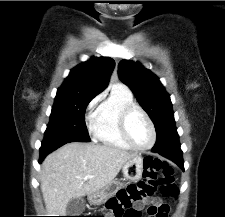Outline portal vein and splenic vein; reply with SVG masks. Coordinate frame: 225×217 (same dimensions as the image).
Segmentation results:
<instances>
[{"label":"portal vein and splenic vein","mask_w":225,"mask_h":217,"mask_svg":"<svg viewBox=\"0 0 225 217\" xmlns=\"http://www.w3.org/2000/svg\"><path fill=\"white\" fill-rule=\"evenodd\" d=\"M92 177H93V176L88 175V176L85 177V179L92 178Z\"/></svg>","instance_id":"18ae733b"}]
</instances>
